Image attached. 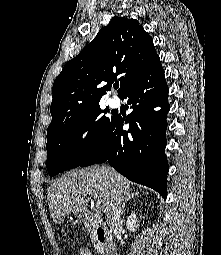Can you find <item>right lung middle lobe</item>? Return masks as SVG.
<instances>
[{
	"instance_id": "1",
	"label": "right lung middle lobe",
	"mask_w": 221,
	"mask_h": 255,
	"mask_svg": "<svg viewBox=\"0 0 221 255\" xmlns=\"http://www.w3.org/2000/svg\"><path fill=\"white\" fill-rule=\"evenodd\" d=\"M99 103L68 116L47 133V170L50 176L79 166L94 150L114 116L106 117ZM88 130L85 139L81 138Z\"/></svg>"
}]
</instances>
